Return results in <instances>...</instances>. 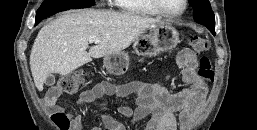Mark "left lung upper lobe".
Returning a JSON list of instances; mask_svg holds the SVG:
<instances>
[{
	"instance_id": "left-lung-upper-lobe-1",
	"label": "left lung upper lobe",
	"mask_w": 257,
	"mask_h": 130,
	"mask_svg": "<svg viewBox=\"0 0 257 130\" xmlns=\"http://www.w3.org/2000/svg\"><path fill=\"white\" fill-rule=\"evenodd\" d=\"M189 2L194 8V20L206 25L211 32L214 31L215 16L211 10L209 0H189Z\"/></svg>"
}]
</instances>
